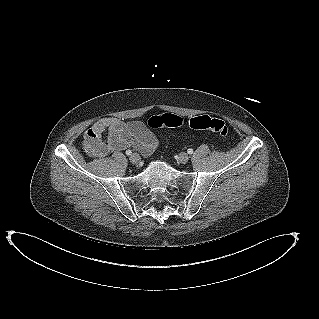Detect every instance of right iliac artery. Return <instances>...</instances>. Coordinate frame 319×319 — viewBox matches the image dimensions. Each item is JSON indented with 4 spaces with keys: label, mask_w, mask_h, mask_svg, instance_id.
<instances>
[{
    "label": "right iliac artery",
    "mask_w": 319,
    "mask_h": 319,
    "mask_svg": "<svg viewBox=\"0 0 319 319\" xmlns=\"http://www.w3.org/2000/svg\"><path fill=\"white\" fill-rule=\"evenodd\" d=\"M131 153H132L131 150H127V151H126V154H127V155H131Z\"/></svg>",
    "instance_id": "right-iliac-artery-1"
}]
</instances>
